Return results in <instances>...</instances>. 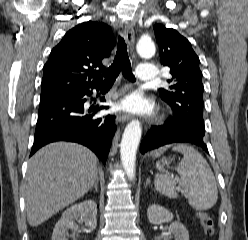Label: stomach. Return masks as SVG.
<instances>
[{"label":"stomach","mask_w":248,"mask_h":240,"mask_svg":"<svg viewBox=\"0 0 248 240\" xmlns=\"http://www.w3.org/2000/svg\"><path fill=\"white\" fill-rule=\"evenodd\" d=\"M156 156H158V153H156ZM161 163H162V165H168L170 163V161L168 159H166V158H163L161 160Z\"/></svg>","instance_id":"stomach-1"}]
</instances>
